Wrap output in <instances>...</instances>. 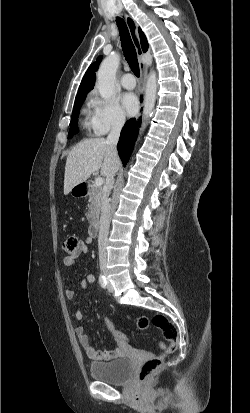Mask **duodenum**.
Returning <instances> with one entry per match:
<instances>
[{
    "mask_svg": "<svg viewBox=\"0 0 250 413\" xmlns=\"http://www.w3.org/2000/svg\"><path fill=\"white\" fill-rule=\"evenodd\" d=\"M80 190H81L82 195H84L85 192H86V184L85 183L81 184ZM99 227H100L99 222L98 221H93L89 226V234L92 237H96L99 233Z\"/></svg>",
    "mask_w": 250,
    "mask_h": 413,
    "instance_id": "410a0bca",
    "label": "duodenum"
}]
</instances>
